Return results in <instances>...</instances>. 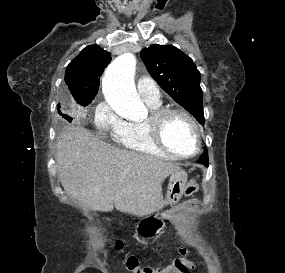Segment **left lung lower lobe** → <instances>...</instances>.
<instances>
[{
  "mask_svg": "<svg viewBox=\"0 0 285 273\" xmlns=\"http://www.w3.org/2000/svg\"><path fill=\"white\" fill-rule=\"evenodd\" d=\"M199 163L204 164L205 166H208V155L204 153L198 160Z\"/></svg>",
  "mask_w": 285,
  "mask_h": 273,
  "instance_id": "left-lung-lower-lobe-1",
  "label": "left lung lower lobe"
}]
</instances>
